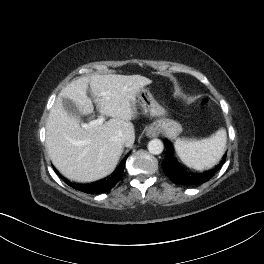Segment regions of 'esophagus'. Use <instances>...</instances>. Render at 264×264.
<instances>
[{
  "label": "esophagus",
  "instance_id": "esophagus-1",
  "mask_svg": "<svg viewBox=\"0 0 264 264\" xmlns=\"http://www.w3.org/2000/svg\"><path fill=\"white\" fill-rule=\"evenodd\" d=\"M147 135L150 137L156 136L157 135V131L154 127H150L147 131Z\"/></svg>",
  "mask_w": 264,
  "mask_h": 264
}]
</instances>
